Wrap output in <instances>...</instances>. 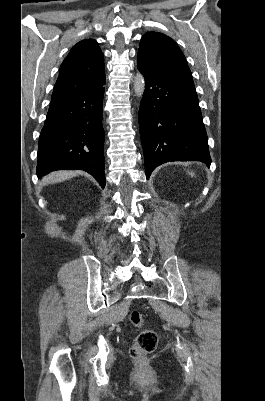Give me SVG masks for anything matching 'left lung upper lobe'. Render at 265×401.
Masks as SVG:
<instances>
[{
	"label": "left lung upper lobe",
	"mask_w": 265,
	"mask_h": 401,
	"mask_svg": "<svg viewBox=\"0 0 265 401\" xmlns=\"http://www.w3.org/2000/svg\"><path fill=\"white\" fill-rule=\"evenodd\" d=\"M137 63L165 76L192 79L182 51L173 39L162 33L147 32L142 37Z\"/></svg>",
	"instance_id": "obj_1"
}]
</instances>
